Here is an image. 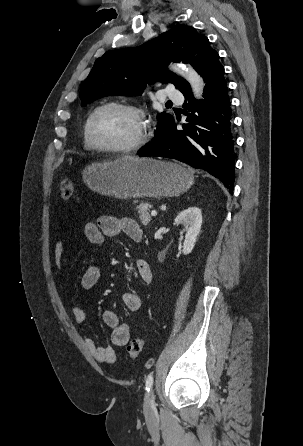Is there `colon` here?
<instances>
[{
    "instance_id": "colon-1",
    "label": "colon",
    "mask_w": 303,
    "mask_h": 446,
    "mask_svg": "<svg viewBox=\"0 0 303 446\" xmlns=\"http://www.w3.org/2000/svg\"><path fill=\"white\" fill-rule=\"evenodd\" d=\"M60 193L63 199H70L73 194V184L68 177H63L59 185ZM145 344L143 337H136L132 339L127 347L126 353L130 359H135L141 353Z\"/></svg>"
}]
</instances>
